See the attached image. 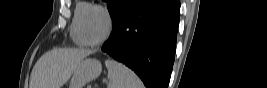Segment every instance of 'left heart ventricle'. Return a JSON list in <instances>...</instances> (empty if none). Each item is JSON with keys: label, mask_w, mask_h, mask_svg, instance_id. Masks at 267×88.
Instances as JSON below:
<instances>
[{"label": "left heart ventricle", "mask_w": 267, "mask_h": 88, "mask_svg": "<svg viewBox=\"0 0 267 88\" xmlns=\"http://www.w3.org/2000/svg\"><path fill=\"white\" fill-rule=\"evenodd\" d=\"M84 31L88 40L96 42L100 40L106 32V19L104 15L92 10L84 21Z\"/></svg>", "instance_id": "b2bd125f"}]
</instances>
